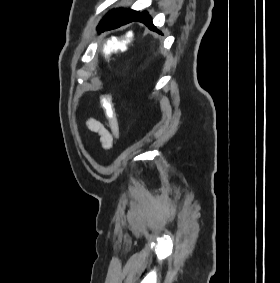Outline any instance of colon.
<instances>
[{"instance_id": "5ec220e1", "label": "colon", "mask_w": 280, "mask_h": 283, "mask_svg": "<svg viewBox=\"0 0 280 283\" xmlns=\"http://www.w3.org/2000/svg\"><path fill=\"white\" fill-rule=\"evenodd\" d=\"M135 32H123V37H108L105 43L106 50H102V55H125L126 51L130 50L135 41ZM121 42V43H119ZM101 104L104 109L106 118L113 126L114 134L117 137L119 134V126L115 107L111 97L107 94L102 95Z\"/></svg>"}]
</instances>
